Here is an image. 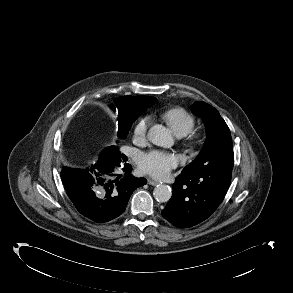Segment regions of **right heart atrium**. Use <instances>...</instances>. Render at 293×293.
Returning a JSON list of instances; mask_svg holds the SVG:
<instances>
[{
    "instance_id": "d8ad5b80",
    "label": "right heart atrium",
    "mask_w": 293,
    "mask_h": 293,
    "mask_svg": "<svg viewBox=\"0 0 293 293\" xmlns=\"http://www.w3.org/2000/svg\"><path fill=\"white\" fill-rule=\"evenodd\" d=\"M150 123L151 119L147 116L140 118L136 122L133 128V137L136 141H143L145 139Z\"/></svg>"
}]
</instances>
